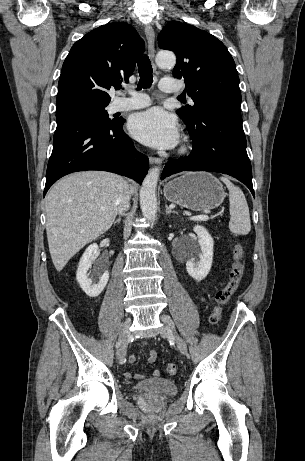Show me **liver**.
I'll list each match as a JSON object with an SVG mask.
<instances>
[{
  "instance_id": "obj_1",
  "label": "liver",
  "mask_w": 305,
  "mask_h": 461,
  "mask_svg": "<svg viewBox=\"0 0 305 461\" xmlns=\"http://www.w3.org/2000/svg\"><path fill=\"white\" fill-rule=\"evenodd\" d=\"M122 182L123 178L113 173L84 171L62 178L50 189L45 199L46 232L58 272L112 226ZM128 188L131 193L135 190L133 184Z\"/></svg>"
}]
</instances>
